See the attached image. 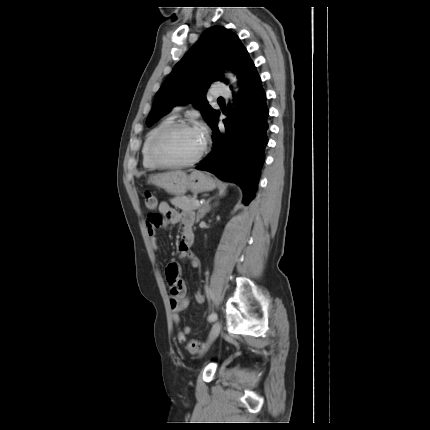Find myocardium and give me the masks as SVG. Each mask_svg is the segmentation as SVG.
<instances>
[{"label": "myocardium", "mask_w": 430, "mask_h": 430, "mask_svg": "<svg viewBox=\"0 0 430 430\" xmlns=\"http://www.w3.org/2000/svg\"><path fill=\"white\" fill-rule=\"evenodd\" d=\"M188 128H196L192 123L187 121H173L172 123L168 124L164 128H162L151 140L149 144V156L152 159L153 162H155L160 167H166V168H181V167H188L192 166L196 163H198L206 154L207 152V143L205 142L203 145L202 150L198 155H196L194 158L186 161H170L162 158L158 153V146L159 144L167 138L170 134L175 132L179 129H188Z\"/></svg>", "instance_id": "obj_1"}]
</instances>
